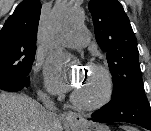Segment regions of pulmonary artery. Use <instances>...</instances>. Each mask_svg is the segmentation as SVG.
Here are the masks:
<instances>
[{"mask_svg": "<svg viewBox=\"0 0 151 131\" xmlns=\"http://www.w3.org/2000/svg\"><path fill=\"white\" fill-rule=\"evenodd\" d=\"M90 42V34L85 28H77L71 32L67 39L66 44L72 47H84Z\"/></svg>", "mask_w": 151, "mask_h": 131, "instance_id": "pulmonary-artery-1", "label": "pulmonary artery"}]
</instances>
